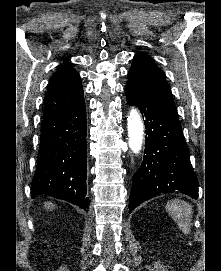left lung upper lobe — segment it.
Returning <instances> with one entry per match:
<instances>
[{
  "label": "left lung upper lobe",
  "instance_id": "1",
  "mask_svg": "<svg viewBox=\"0 0 221 271\" xmlns=\"http://www.w3.org/2000/svg\"><path fill=\"white\" fill-rule=\"evenodd\" d=\"M127 84L139 89L152 102L178 116L164 72L149 55L138 53L134 56Z\"/></svg>",
  "mask_w": 221,
  "mask_h": 271
}]
</instances>
